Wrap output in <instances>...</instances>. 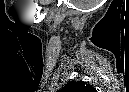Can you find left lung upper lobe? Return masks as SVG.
Instances as JSON below:
<instances>
[{
  "label": "left lung upper lobe",
  "instance_id": "left-lung-upper-lobe-1",
  "mask_svg": "<svg viewBox=\"0 0 129 92\" xmlns=\"http://www.w3.org/2000/svg\"><path fill=\"white\" fill-rule=\"evenodd\" d=\"M95 90L83 81H72L65 85L59 92H94Z\"/></svg>",
  "mask_w": 129,
  "mask_h": 92
}]
</instances>
